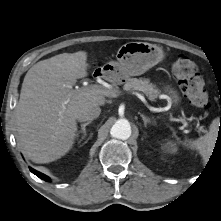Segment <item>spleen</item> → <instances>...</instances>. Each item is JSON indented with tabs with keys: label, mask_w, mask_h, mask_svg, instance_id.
I'll use <instances>...</instances> for the list:
<instances>
[{
	"label": "spleen",
	"mask_w": 221,
	"mask_h": 221,
	"mask_svg": "<svg viewBox=\"0 0 221 221\" xmlns=\"http://www.w3.org/2000/svg\"><path fill=\"white\" fill-rule=\"evenodd\" d=\"M218 125V120H213L212 124L210 125V130L207 134L198 138L197 140L190 141V146L199 151L204 161H207L212 153L219 129Z\"/></svg>",
	"instance_id": "3e777b00"
}]
</instances>
